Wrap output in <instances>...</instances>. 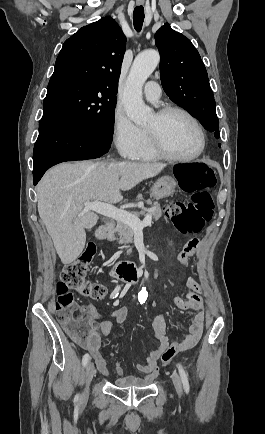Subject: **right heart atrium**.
Here are the masks:
<instances>
[{
  "label": "right heart atrium",
  "mask_w": 265,
  "mask_h": 434,
  "mask_svg": "<svg viewBox=\"0 0 265 434\" xmlns=\"http://www.w3.org/2000/svg\"><path fill=\"white\" fill-rule=\"evenodd\" d=\"M115 113L110 125L113 132L112 145L113 148H118L120 159H130L132 154H137L138 151L137 145H131L132 141H140L143 127L135 125L125 106H116Z\"/></svg>",
  "instance_id": "right-heart-atrium-1"
}]
</instances>
